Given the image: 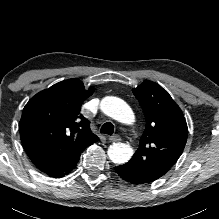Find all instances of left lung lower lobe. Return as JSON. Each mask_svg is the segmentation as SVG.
Segmentation results:
<instances>
[{
	"label": "left lung lower lobe",
	"instance_id": "obj_1",
	"mask_svg": "<svg viewBox=\"0 0 219 219\" xmlns=\"http://www.w3.org/2000/svg\"><path fill=\"white\" fill-rule=\"evenodd\" d=\"M116 173L124 180L131 182L133 184H144V183H150L158 178L151 177L148 175H145L126 164L120 165L117 167H114Z\"/></svg>",
	"mask_w": 219,
	"mask_h": 219
}]
</instances>
